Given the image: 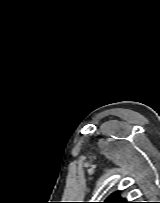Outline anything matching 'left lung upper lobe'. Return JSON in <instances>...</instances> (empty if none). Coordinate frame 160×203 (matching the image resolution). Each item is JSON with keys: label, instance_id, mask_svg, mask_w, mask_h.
Masks as SVG:
<instances>
[{"label": "left lung upper lobe", "instance_id": "1", "mask_svg": "<svg viewBox=\"0 0 160 203\" xmlns=\"http://www.w3.org/2000/svg\"><path fill=\"white\" fill-rule=\"evenodd\" d=\"M102 203H131V202H128L126 199L121 198L118 193H113Z\"/></svg>", "mask_w": 160, "mask_h": 203}]
</instances>
